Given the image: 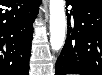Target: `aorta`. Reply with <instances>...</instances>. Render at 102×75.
<instances>
[{
    "label": "aorta",
    "instance_id": "aorta-1",
    "mask_svg": "<svg viewBox=\"0 0 102 75\" xmlns=\"http://www.w3.org/2000/svg\"><path fill=\"white\" fill-rule=\"evenodd\" d=\"M50 44L54 51L62 48L65 41L66 18L64 0H50Z\"/></svg>",
    "mask_w": 102,
    "mask_h": 75
}]
</instances>
